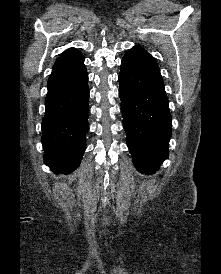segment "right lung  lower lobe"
<instances>
[{
    "mask_svg": "<svg viewBox=\"0 0 221 274\" xmlns=\"http://www.w3.org/2000/svg\"><path fill=\"white\" fill-rule=\"evenodd\" d=\"M47 87L41 139L44 163L56 174H67L80 164L89 130V88L84 57L52 70Z\"/></svg>",
    "mask_w": 221,
    "mask_h": 274,
    "instance_id": "1",
    "label": "right lung lower lobe"
}]
</instances>
